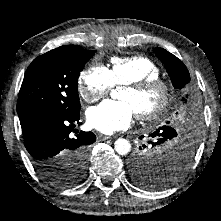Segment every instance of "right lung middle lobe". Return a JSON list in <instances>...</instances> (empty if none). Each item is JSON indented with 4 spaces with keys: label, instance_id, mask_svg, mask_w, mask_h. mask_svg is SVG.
<instances>
[{
    "label": "right lung middle lobe",
    "instance_id": "obj_1",
    "mask_svg": "<svg viewBox=\"0 0 221 221\" xmlns=\"http://www.w3.org/2000/svg\"><path fill=\"white\" fill-rule=\"evenodd\" d=\"M95 51L59 47L32 61L20 88L17 113L52 109L72 114L80 111L78 77ZM90 146L66 153L59 164L39 173L50 184L66 188L85 176Z\"/></svg>",
    "mask_w": 221,
    "mask_h": 221
}]
</instances>
